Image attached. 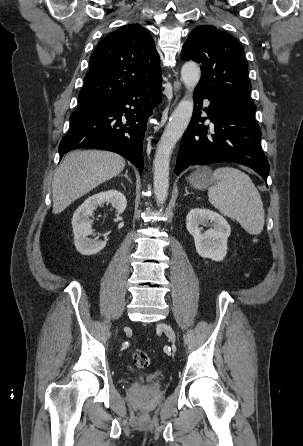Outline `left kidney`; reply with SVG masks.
<instances>
[{
    "label": "left kidney",
    "instance_id": "left-kidney-1",
    "mask_svg": "<svg viewBox=\"0 0 303 446\" xmlns=\"http://www.w3.org/2000/svg\"><path fill=\"white\" fill-rule=\"evenodd\" d=\"M213 222V228L202 231V226ZM186 227L193 236L197 253L203 258L222 261L227 254V239L231 227L226 219L209 209H191L186 218Z\"/></svg>",
    "mask_w": 303,
    "mask_h": 446
}]
</instances>
